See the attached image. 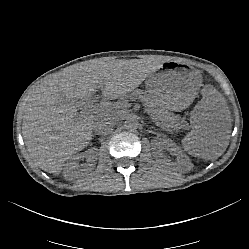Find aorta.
<instances>
[{"mask_svg": "<svg viewBox=\"0 0 249 249\" xmlns=\"http://www.w3.org/2000/svg\"><path fill=\"white\" fill-rule=\"evenodd\" d=\"M124 125L127 130L133 131L138 128L139 123L135 117L129 116Z\"/></svg>", "mask_w": 249, "mask_h": 249, "instance_id": "aorta-1", "label": "aorta"}]
</instances>
